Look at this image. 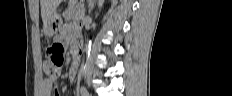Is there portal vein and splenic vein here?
<instances>
[{"instance_id": "18ae733b", "label": "portal vein and splenic vein", "mask_w": 232, "mask_h": 96, "mask_svg": "<svg viewBox=\"0 0 232 96\" xmlns=\"http://www.w3.org/2000/svg\"><path fill=\"white\" fill-rule=\"evenodd\" d=\"M84 14V13H83ZM83 14L81 15V17H79L78 19H81L83 17Z\"/></svg>"}]
</instances>
